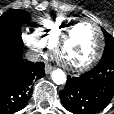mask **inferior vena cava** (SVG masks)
<instances>
[{"instance_id":"inferior-vena-cava-1","label":"inferior vena cava","mask_w":114,"mask_h":114,"mask_svg":"<svg viewBox=\"0 0 114 114\" xmlns=\"http://www.w3.org/2000/svg\"><path fill=\"white\" fill-rule=\"evenodd\" d=\"M26 58L32 62H41L43 60L39 53L32 51L26 53Z\"/></svg>"}]
</instances>
